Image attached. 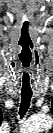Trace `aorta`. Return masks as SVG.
I'll list each match as a JSON object with an SVG mask.
<instances>
[{
	"mask_svg": "<svg viewBox=\"0 0 53 133\" xmlns=\"http://www.w3.org/2000/svg\"><path fill=\"white\" fill-rule=\"evenodd\" d=\"M51 118L47 115H37L31 117L24 125L25 131H40L51 125Z\"/></svg>",
	"mask_w": 53,
	"mask_h": 133,
	"instance_id": "obj_1",
	"label": "aorta"
}]
</instances>
